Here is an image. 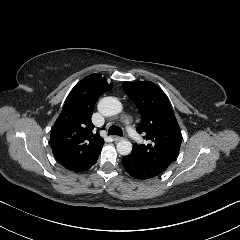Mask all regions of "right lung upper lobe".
I'll use <instances>...</instances> for the list:
<instances>
[{
    "label": "right lung upper lobe",
    "instance_id": "obj_1",
    "mask_svg": "<svg viewBox=\"0 0 240 240\" xmlns=\"http://www.w3.org/2000/svg\"><path fill=\"white\" fill-rule=\"evenodd\" d=\"M111 87L100 75L91 74L68 95L50 137L53 155L66 169L84 172L96 163L104 140L93 131L91 117L97 99Z\"/></svg>",
    "mask_w": 240,
    "mask_h": 240
}]
</instances>
